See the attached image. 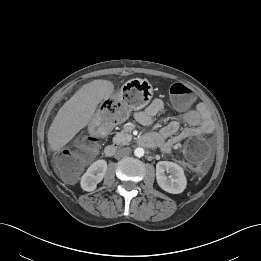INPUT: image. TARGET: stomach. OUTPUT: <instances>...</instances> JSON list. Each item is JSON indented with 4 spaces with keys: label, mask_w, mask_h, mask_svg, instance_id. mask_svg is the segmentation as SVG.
Masks as SVG:
<instances>
[{
    "label": "stomach",
    "mask_w": 261,
    "mask_h": 261,
    "mask_svg": "<svg viewBox=\"0 0 261 261\" xmlns=\"http://www.w3.org/2000/svg\"><path fill=\"white\" fill-rule=\"evenodd\" d=\"M153 95V88L147 80L134 78L127 81L117 93L116 98L121 106L129 113L132 110H139L146 106ZM104 128V122L95 115L89 124V130L99 133Z\"/></svg>",
    "instance_id": "0dacf381"
}]
</instances>
